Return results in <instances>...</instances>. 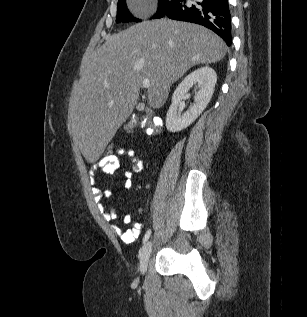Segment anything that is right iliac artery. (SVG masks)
I'll use <instances>...</instances> for the list:
<instances>
[{
  "mask_svg": "<svg viewBox=\"0 0 307 317\" xmlns=\"http://www.w3.org/2000/svg\"><path fill=\"white\" fill-rule=\"evenodd\" d=\"M150 235H151V229H149V230L145 233V235H144V237H143V244H145V243L148 241Z\"/></svg>",
  "mask_w": 307,
  "mask_h": 317,
  "instance_id": "obj_1",
  "label": "right iliac artery"
}]
</instances>
